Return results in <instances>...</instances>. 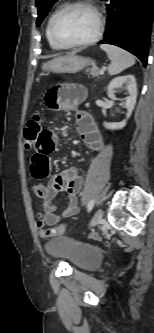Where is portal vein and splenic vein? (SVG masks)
<instances>
[{"instance_id": "obj_1", "label": "portal vein and splenic vein", "mask_w": 154, "mask_h": 333, "mask_svg": "<svg viewBox=\"0 0 154 333\" xmlns=\"http://www.w3.org/2000/svg\"><path fill=\"white\" fill-rule=\"evenodd\" d=\"M104 70H105V68H102V69L99 71V73H100V74H103V73H104Z\"/></svg>"}]
</instances>
